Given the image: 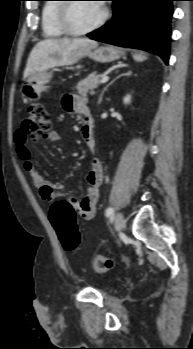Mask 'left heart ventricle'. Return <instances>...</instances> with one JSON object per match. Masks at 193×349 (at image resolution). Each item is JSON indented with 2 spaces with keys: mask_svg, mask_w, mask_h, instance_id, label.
Masks as SVG:
<instances>
[{
  "mask_svg": "<svg viewBox=\"0 0 193 349\" xmlns=\"http://www.w3.org/2000/svg\"><path fill=\"white\" fill-rule=\"evenodd\" d=\"M103 7L97 3H74L70 9V22L75 29H85L93 25L102 15Z\"/></svg>",
  "mask_w": 193,
  "mask_h": 349,
  "instance_id": "left-heart-ventricle-1",
  "label": "left heart ventricle"
}]
</instances>
